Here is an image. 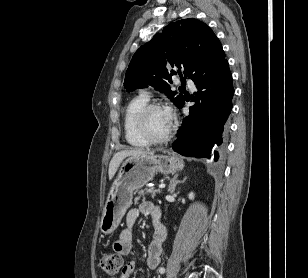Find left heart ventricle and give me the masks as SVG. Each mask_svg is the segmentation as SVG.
<instances>
[{
	"mask_svg": "<svg viewBox=\"0 0 308 278\" xmlns=\"http://www.w3.org/2000/svg\"><path fill=\"white\" fill-rule=\"evenodd\" d=\"M147 126L152 135L156 137L165 135L170 128V124L166 119L164 110L151 111L147 117Z\"/></svg>",
	"mask_w": 308,
	"mask_h": 278,
	"instance_id": "obj_1",
	"label": "left heart ventricle"
}]
</instances>
